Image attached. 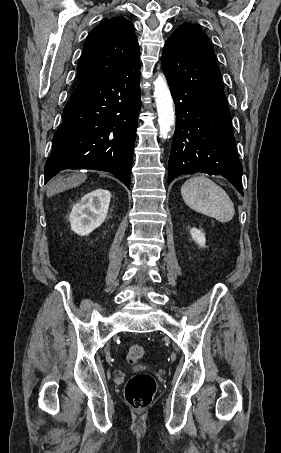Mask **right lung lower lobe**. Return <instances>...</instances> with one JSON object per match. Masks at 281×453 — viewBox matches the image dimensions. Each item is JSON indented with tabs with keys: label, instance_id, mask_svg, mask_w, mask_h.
Instances as JSON below:
<instances>
[{
	"label": "right lung lower lobe",
	"instance_id": "right-lung-lower-lobe-1",
	"mask_svg": "<svg viewBox=\"0 0 281 453\" xmlns=\"http://www.w3.org/2000/svg\"><path fill=\"white\" fill-rule=\"evenodd\" d=\"M140 56L113 77L78 84L45 164V183L64 169L107 171L130 188L140 100Z\"/></svg>",
	"mask_w": 281,
	"mask_h": 453
}]
</instances>
